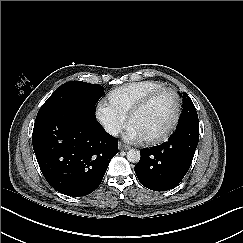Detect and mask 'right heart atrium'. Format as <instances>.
<instances>
[{
  "label": "right heart atrium",
  "instance_id": "obj_1",
  "mask_svg": "<svg viewBox=\"0 0 243 243\" xmlns=\"http://www.w3.org/2000/svg\"><path fill=\"white\" fill-rule=\"evenodd\" d=\"M97 118L112 133H116L123 125L121 116L106 104L98 107Z\"/></svg>",
  "mask_w": 243,
  "mask_h": 243
}]
</instances>
